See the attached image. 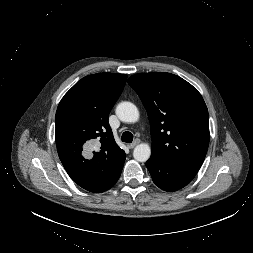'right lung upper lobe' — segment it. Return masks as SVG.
I'll return each instance as SVG.
<instances>
[{
  "mask_svg": "<svg viewBox=\"0 0 253 253\" xmlns=\"http://www.w3.org/2000/svg\"><path fill=\"white\" fill-rule=\"evenodd\" d=\"M126 79L125 74L88 75L64 95L57 108L55 139L59 158L71 179L91 192L108 182L125 160L108 118ZM84 145L95 149L87 158L82 152Z\"/></svg>",
  "mask_w": 253,
  "mask_h": 253,
  "instance_id": "1",
  "label": "right lung upper lobe"
}]
</instances>
